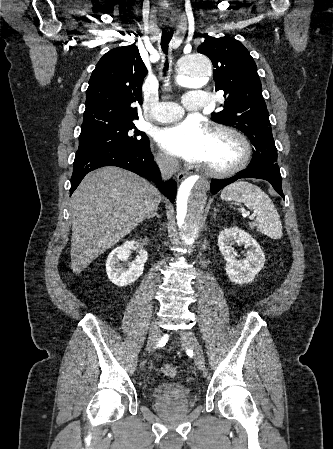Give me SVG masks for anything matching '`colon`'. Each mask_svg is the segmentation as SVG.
I'll list each match as a JSON object with an SVG mask.
<instances>
[{"label":"colon","instance_id":"1","mask_svg":"<svg viewBox=\"0 0 333 449\" xmlns=\"http://www.w3.org/2000/svg\"><path fill=\"white\" fill-rule=\"evenodd\" d=\"M161 371L162 373L166 376V377H175L177 374V369L174 365L172 364H165L161 367Z\"/></svg>","mask_w":333,"mask_h":449}]
</instances>
